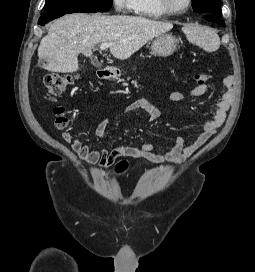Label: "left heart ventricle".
Wrapping results in <instances>:
<instances>
[{
  "mask_svg": "<svg viewBox=\"0 0 255 272\" xmlns=\"http://www.w3.org/2000/svg\"><path fill=\"white\" fill-rule=\"evenodd\" d=\"M169 2L172 8L177 10L183 9L187 4V0H169Z\"/></svg>",
  "mask_w": 255,
  "mask_h": 272,
  "instance_id": "obj_1",
  "label": "left heart ventricle"
}]
</instances>
